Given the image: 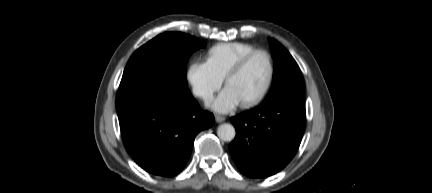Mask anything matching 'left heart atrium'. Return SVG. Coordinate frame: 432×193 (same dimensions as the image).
Wrapping results in <instances>:
<instances>
[{"label": "left heart atrium", "instance_id": "39dd6f15", "mask_svg": "<svg viewBox=\"0 0 432 193\" xmlns=\"http://www.w3.org/2000/svg\"><path fill=\"white\" fill-rule=\"evenodd\" d=\"M240 103L236 94L230 89L225 88L222 93L212 102L211 107L218 112H228L233 110Z\"/></svg>", "mask_w": 432, "mask_h": 193}]
</instances>
